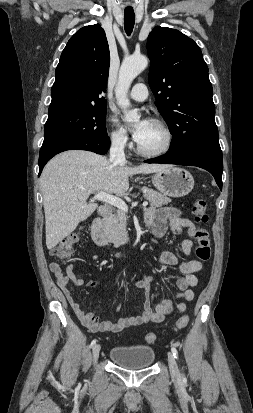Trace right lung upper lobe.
Masks as SVG:
<instances>
[{
    "label": "right lung upper lobe",
    "mask_w": 253,
    "mask_h": 413,
    "mask_svg": "<svg viewBox=\"0 0 253 413\" xmlns=\"http://www.w3.org/2000/svg\"><path fill=\"white\" fill-rule=\"evenodd\" d=\"M110 53L99 24L78 30L64 48L55 71L48 115L72 109L107 107L104 94Z\"/></svg>",
    "instance_id": "cb5924a9"
}]
</instances>
